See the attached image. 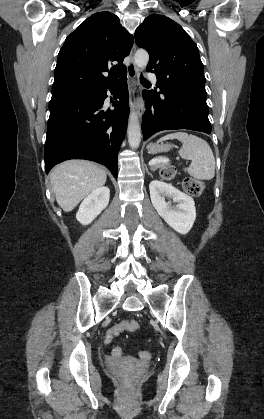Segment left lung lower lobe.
<instances>
[{
    "label": "left lung lower lobe",
    "mask_w": 264,
    "mask_h": 419,
    "mask_svg": "<svg viewBox=\"0 0 264 419\" xmlns=\"http://www.w3.org/2000/svg\"><path fill=\"white\" fill-rule=\"evenodd\" d=\"M159 92L143 90L147 100L142 120L143 139L161 130L189 129L211 133L206 103V90L202 85L192 90L183 84L164 86L157 81Z\"/></svg>",
    "instance_id": "left-lung-lower-lobe-1"
}]
</instances>
